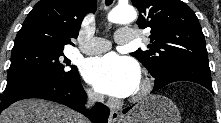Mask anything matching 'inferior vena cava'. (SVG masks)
<instances>
[{
  "label": "inferior vena cava",
  "instance_id": "obj_1",
  "mask_svg": "<svg viewBox=\"0 0 221 123\" xmlns=\"http://www.w3.org/2000/svg\"><path fill=\"white\" fill-rule=\"evenodd\" d=\"M87 94H88V102L86 104V107L87 108H90L94 105L95 102H103L104 98L102 95L100 94H95V93H92L90 91H87ZM86 122V121H84Z\"/></svg>",
  "mask_w": 221,
  "mask_h": 123
}]
</instances>
